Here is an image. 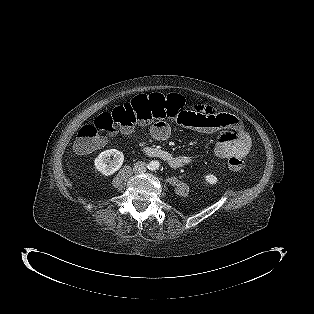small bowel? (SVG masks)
Returning <instances> with one entry per match:
<instances>
[{
    "label": "small bowel",
    "mask_w": 314,
    "mask_h": 314,
    "mask_svg": "<svg viewBox=\"0 0 314 314\" xmlns=\"http://www.w3.org/2000/svg\"><path fill=\"white\" fill-rule=\"evenodd\" d=\"M176 123L197 132L211 133L222 131L214 146V157L225 161L231 158H245L251 150V137L240 120L210 105H196L194 109L185 108L175 116ZM151 136L156 140H165L171 134V127L165 121H158L150 128ZM172 165L179 168L191 162L187 155L176 156Z\"/></svg>",
    "instance_id": "c3829d8e"
}]
</instances>
